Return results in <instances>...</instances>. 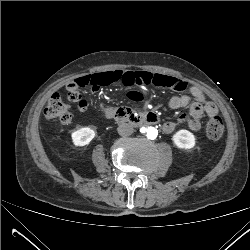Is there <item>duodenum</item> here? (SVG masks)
Returning <instances> with one entry per match:
<instances>
[{
    "instance_id": "1",
    "label": "duodenum",
    "mask_w": 250,
    "mask_h": 250,
    "mask_svg": "<svg viewBox=\"0 0 250 250\" xmlns=\"http://www.w3.org/2000/svg\"><path fill=\"white\" fill-rule=\"evenodd\" d=\"M124 115L125 110L123 108H115L109 106L106 107L104 111L105 119L108 121ZM144 122L149 125H156L159 122V119L154 113H147Z\"/></svg>"
}]
</instances>
